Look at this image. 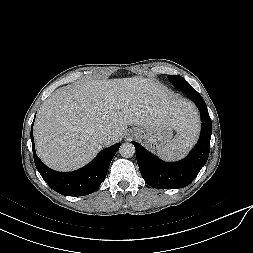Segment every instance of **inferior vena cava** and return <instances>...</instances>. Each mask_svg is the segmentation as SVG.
Returning <instances> with one entry per match:
<instances>
[{"mask_svg": "<svg viewBox=\"0 0 253 253\" xmlns=\"http://www.w3.org/2000/svg\"><path fill=\"white\" fill-rule=\"evenodd\" d=\"M111 138V134L110 132L108 131H102L100 134H99V139L100 141L105 144L107 143Z\"/></svg>", "mask_w": 253, "mask_h": 253, "instance_id": "obj_1", "label": "inferior vena cava"}]
</instances>
